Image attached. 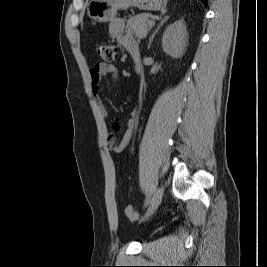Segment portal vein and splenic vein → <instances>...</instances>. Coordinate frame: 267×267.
Wrapping results in <instances>:
<instances>
[{"label": "portal vein and splenic vein", "mask_w": 267, "mask_h": 267, "mask_svg": "<svg viewBox=\"0 0 267 267\" xmlns=\"http://www.w3.org/2000/svg\"><path fill=\"white\" fill-rule=\"evenodd\" d=\"M155 25V21L154 20H150L149 22H148V26L149 27H152V26H154Z\"/></svg>", "instance_id": "obj_1"}]
</instances>
